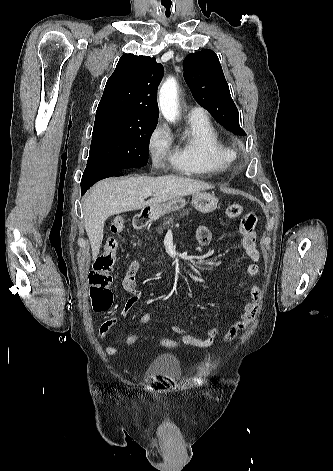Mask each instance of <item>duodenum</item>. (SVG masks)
Here are the masks:
<instances>
[{
    "label": "duodenum",
    "instance_id": "410a0bca",
    "mask_svg": "<svg viewBox=\"0 0 333 471\" xmlns=\"http://www.w3.org/2000/svg\"><path fill=\"white\" fill-rule=\"evenodd\" d=\"M149 221V214L147 210H143L140 214H138L133 220V227L135 229H141L144 227Z\"/></svg>",
    "mask_w": 333,
    "mask_h": 471
}]
</instances>
